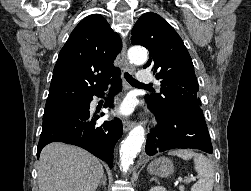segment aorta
<instances>
[{"label":"aorta","instance_id":"762f6f07","mask_svg":"<svg viewBox=\"0 0 251 191\" xmlns=\"http://www.w3.org/2000/svg\"><path fill=\"white\" fill-rule=\"evenodd\" d=\"M128 58L132 64L136 66H142L147 62L148 54L145 48H140V46H134V48H129ZM145 131L142 125H136L131 131H129L128 137H126L124 143L121 145L120 153V165L122 171H127L129 165L133 163L134 157H136L138 151L141 149L142 143H144Z\"/></svg>","mask_w":251,"mask_h":191}]
</instances>
